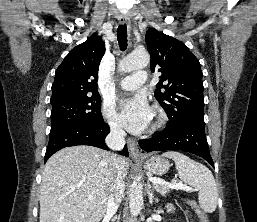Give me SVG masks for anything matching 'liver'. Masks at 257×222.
<instances>
[{
	"label": "liver",
	"mask_w": 257,
	"mask_h": 222,
	"mask_svg": "<svg viewBox=\"0 0 257 222\" xmlns=\"http://www.w3.org/2000/svg\"><path fill=\"white\" fill-rule=\"evenodd\" d=\"M117 159L125 179L128 162L124 157ZM110 189L107 152L85 145L61 149L48 159L42 173L40 222H99Z\"/></svg>",
	"instance_id": "obj_1"
}]
</instances>
